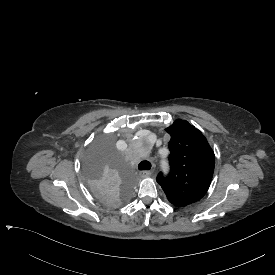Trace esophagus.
<instances>
[{"instance_id":"34e87169","label":"esophagus","mask_w":275,"mask_h":275,"mask_svg":"<svg viewBox=\"0 0 275 275\" xmlns=\"http://www.w3.org/2000/svg\"><path fill=\"white\" fill-rule=\"evenodd\" d=\"M150 175H151L150 171H140L139 172V176L143 177V178L149 177Z\"/></svg>"}]
</instances>
